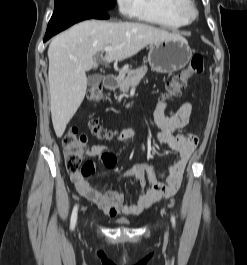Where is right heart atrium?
<instances>
[{"instance_id":"1","label":"right heart atrium","mask_w":247,"mask_h":265,"mask_svg":"<svg viewBox=\"0 0 247 265\" xmlns=\"http://www.w3.org/2000/svg\"><path fill=\"white\" fill-rule=\"evenodd\" d=\"M120 12L124 16H134L138 6V0H117Z\"/></svg>"}]
</instances>
